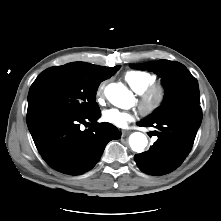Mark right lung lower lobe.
Wrapping results in <instances>:
<instances>
[{
	"instance_id": "right-lung-lower-lobe-1",
	"label": "right lung lower lobe",
	"mask_w": 221,
	"mask_h": 221,
	"mask_svg": "<svg viewBox=\"0 0 221 221\" xmlns=\"http://www.w3.org/2000/svg\"><path fill=\"white\" fill-rule=\"evenodd\" d=\"M100 110L88 114L41 109L27 112V125L34 143L47 164L70 175H80L99 161L105 146L121 137L110 123H98ZM89 129L81 130V125Z\"/></svg>"
}]
</instances>
